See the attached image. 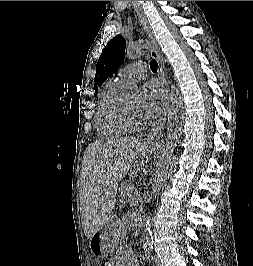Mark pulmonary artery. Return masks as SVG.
Returning a JSON list of instances; mask_svg holds the SVG:
<instances>
[{
	"label": "pulmonary artery",
	"mask_w": 253,
	"mask_h": 266,
	"mask_svg": "<svg viewBox=\"0 0 253 266\" xmlns=\"http://www.w3.org/2000/svg\"><path fill=\"white\" fill-rule=\"evenodd\" d=\"M147 75V65L142 62H134L119 70L116 79L126 86L145 78Z\"/></svg>",
	"instance_id": "e3ab8cb5"
}]
</instances>
